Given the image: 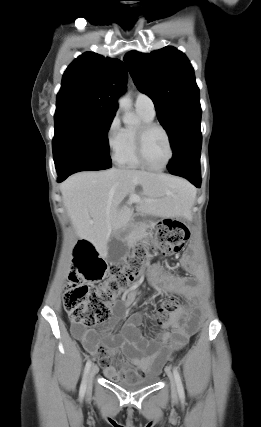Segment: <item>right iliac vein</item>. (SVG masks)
Returning <instances> with one entry per match:
<instances>
[{"label": "right iliac vein", "instance_id": "63e3f726", "mask_svg": "<svg viewBox=\"0 0 261 427\" xmlns=\"http://www.w3.org/2000/svg\"><path fill=\"white\" fill-rule=\"evenodd\" d=\"M98 366L97 365H92L91 369H90V373L88 376V380H87V389L90 390L92 388V384H93V378L94 376L98 373Z\"/></svg>", "mask_w": 261, "mask_h": 427}]
</instances>
